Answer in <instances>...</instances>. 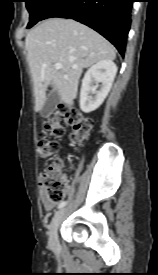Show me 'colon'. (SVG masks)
I'll use <instances>...</instances> for the list:
<instances>
[{
  "mask_svg": "<svg viewBox=\"0 0 158 275\" xmlns=\"http://www.w3.org/2000/svg\"><path fill=\"white\" fill-rule=\"evenodd\" d=\"M67 127L71 130L72 143L80 144L89 137L93 120L80 111L57 108L48 114L43 129L38 134L39 157L48 160L45 170L39 176V185L46 197L53 202H60L64 198L68 186L67 178L62 172V161L56 157L59 150L57 139Z\"/></svg>",
  "mask_w": 158,
  "mask_h": 275,
  "instance_id": "obj_1",
  "label": "colon"
}]
</instances>
